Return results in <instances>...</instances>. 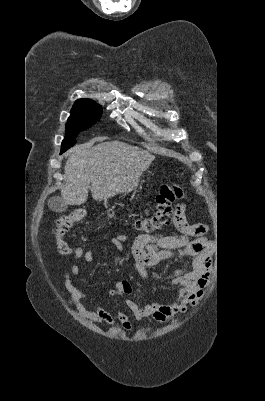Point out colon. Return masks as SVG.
<instances>
[{"label":"colon","instance_id":"5ec220e1","mask_svg":"<svg viewBox=\"0 0 265 401\" xmlns=\"http://www.w3.org/2000/svg\"><path fill=\"white\" fill-rule=\"evenodd\" d=\"M184 195V189L180 185H163L156 196V211L146 217L136 220L135 228L144 233H150L160 229L171 222L172 203ZM85 216V211L81 208L74 209L70 213L62 215L54 228L56 247L60 254L69 255L73 249L65 242L64 236L72 225Z\"/></svg>","mask_w":265,"mask_h":401}]
</instances>
